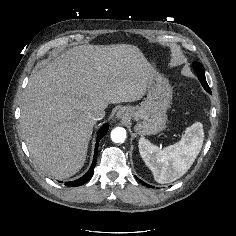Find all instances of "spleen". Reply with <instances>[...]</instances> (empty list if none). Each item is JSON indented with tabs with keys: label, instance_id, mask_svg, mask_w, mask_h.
Masks as SVG:
<instances>
[{
	"label": "spleen",
	"instance_id": "spleen-1",
	"mask_svg": "<svg viewBox=\"0 0 236 236\" xmlns=\"http://www.w3.org/2000/svg\"><path fill=\"white\" fill-rule=\"evenodd\" d=\"M204 131L200 122L188 127L181 140L164 149L140 138V156L161 184L170 183L183 176L192 166L203 145Z\"/></svg>",
	"mask_w": 236,
	"mask_h": 236
}]
</instances>
